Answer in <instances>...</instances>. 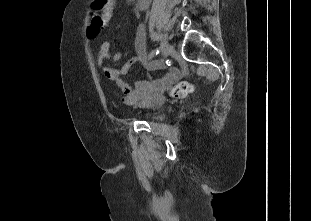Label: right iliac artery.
<instances>
[{"mask_svg": "<svg viewBox=\"0 0 311 221\" xmlns=\"http://www.w3.org/2000/svg\"><path fill=\"white\" fill-rule=\"evenodd\" d=\"M159 52V49L152 50L148 56V60H151L153 57L157 56Z\"/></svg>", "mask_w": 311, "mask_h": 221, "instance_id": "82829eb1", "label": "right iliac artery"}]
</instances>
